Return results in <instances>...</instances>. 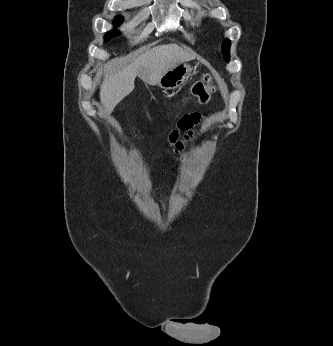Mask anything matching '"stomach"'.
Returning <instances> with one entry per match:
<instances>
[{
  "label": "stomach",
  "mask_w": 333,
  "mask_h": 346,
  "mask_svg": "<svg viewBox=\"0 0 333 346\" xmlns=\"http://www.w3.org/2000/svg\"><path fill=\"white\" fill-rule=\"evenodd\" d=\"M192 67L187 63H178L159 79L157 85L164 90H172L184 85L192 76Z\"/></svg>",
  "instance_id": "stomach-1"
}]
</instances>
